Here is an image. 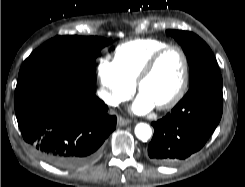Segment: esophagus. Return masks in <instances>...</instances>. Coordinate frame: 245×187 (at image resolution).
Here are the masks:
<instances>
[{
  "label": "esophagus",
  "mask_w": 245,
  "mask_h": 187,
  "mask_svg": "<svg viewBox=\"0 0 245 187\" xmlns=\"http://www.w3.org/2000/svg\"><path fill=\"white\" fill-rule=\"evenodd\" d=\"M130 122H131V120L125 119V118H123V117H121V116H119V117L117 118V125H118L119 127L128 125Z\"/></svg>",
  "instance_id": "obj_1"
}]
</instances>
